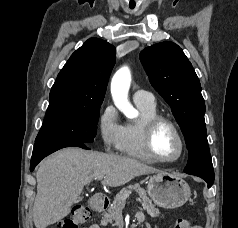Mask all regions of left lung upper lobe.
I'll list each match as a JSON object with an SVG mask.
<instances>
[{"label": "left lung upper lobe", "mask_w": 238, "mask_h": 228, "mask_svg": "<svg viewBox=\"0 0 238 228\" xmlns=\"http://www.w3.org/2000/svg\"><path fill=\"white\" fill-rule=\"evenodd\" d=\"M141 63L154 89L172 108L189 151L185 172L214 178L205 125V102L200 81L183 50L162 42L140 53Z\"/></svg>", "instance_id": "left-lung-upper-lobe-1"}]
</instances>
